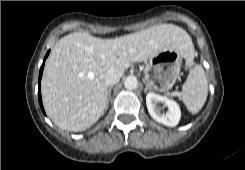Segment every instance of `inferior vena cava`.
<instances>
[{
    "label": "inferior vena cava",
    "mask_w": 245,
    "mask_h": 170,
    "mask_svg": "<svg viewBox=\"0 0 245 170\" xmlns=\"http://www.w3.org/2000/svg\"><path fill=\"white\" fill-rule=\"evenodd\" d=\"M123 71H118L116 69H110L105 74V82L107 86H112L119 82L120 78L123 75Z\"/></svg>",
    "instance_id": "obj_1"
}]
</instances>
